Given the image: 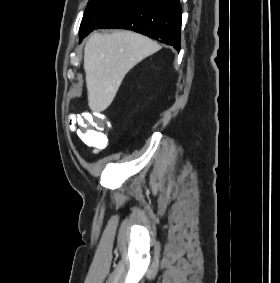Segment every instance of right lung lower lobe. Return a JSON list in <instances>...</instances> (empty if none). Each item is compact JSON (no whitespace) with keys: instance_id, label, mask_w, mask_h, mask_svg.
<instances>
[{"instance_id":"98d812e1","label":"right lung lower lobe","mask_w":280,"mask_h":283,"mask_svg":"<svg viewBox=\"0 0 280 283\" xmlns=\"http://www.w3.org/2000/svg\"><path fill=\"white\" fill-rule=\"evenodd\" d=\"M181 14L179 0H136L105 19L96 29L136 31L179 51Z\"/></svg>"}]
</instances>
